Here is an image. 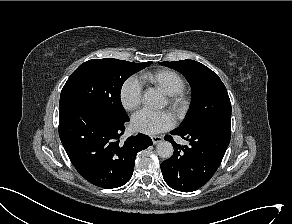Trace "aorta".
I'll return each instance as SVG.
<instances>
[{
    "label": "aorta",
    "instance_id": "1",
    "mask_svg": "<svg viewBox=\"0 0 292 224\" xmlns=\"http://www.w3.org/2000/svg\"><path fill=\"white\" fill-rule=\"evenodd\" d=\"M143 102L150 108H162L163 96L160 92L150 89L144 94ZM156 151L161 158H170L174 153V148L170 142L162 141L158 143Z\"/></svg>",
    "mask_w": 292,
    "mask_h": 224
}]
</instances>
